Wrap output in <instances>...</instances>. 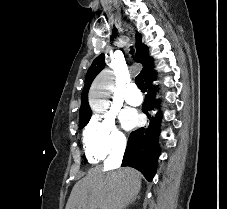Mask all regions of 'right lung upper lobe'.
I'll return each mask as SVG.
<instances>
[{
	"label": "right lung upper lobe",
	"mask_w": 227,
	"mask_h": 209,
	"mask_svg": "<svg viewBox=\"0 0 227 209\" xmlns=\"http://www.w3.org/2000/svg\"><path fill=\"white\" fill-rule=\"evenodd\" d=\"M141 41H142V36L141 34L137 33L136 34L137 53H136L135 61L143 65L141 74L144 80H146L154 73L153 59L148 56V47L143 45ZM104 66H105L104 54H101L93 61L92 65L88 69V72L85 78V86L81 96V107L79 112V118L91 117V109L88 104V91L92 81L94 80L96 75L104 68Z\"/></svg>",
	"instance_id": "right-lung-upper-lobe-1"
}]
</instances>
